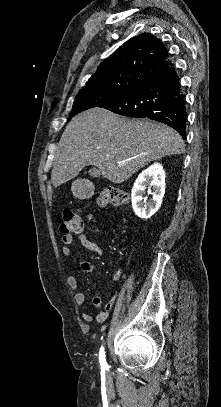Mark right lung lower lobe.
Listing matches in <instances>:
<instances>
[{
  "label": "right lung lower lobe",
  "mask_w": 221,
  "mask_h": 407,
  "mask_svg": "<svg viewBox=\"0 0 221 407\" xmlns=\"http://www.w3.org/2000/svg\"><path fill=\"white\" fill-rule=\"evenodd\" d=\"M101 108L127 117L149 118L165 123L185 139L186 102L173 64Z\"/></svg>",
  "instance_id": "1"
}]
</instances>
